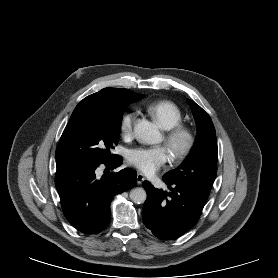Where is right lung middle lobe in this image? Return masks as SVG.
<instances>
[{"label":"right lung middle lobe","instance_id":"dd1d6c3e","mask_svg":"<svg viewBox=\"0 0 278 278\" xmlns=\"http://www.w3.org/2000/svg\"><path fill=\"white\" fill-rule=\"evenodd\" d=\"M143 97L120 100L114 105L80 102L57 146V169L115 158L117 155H111L110 151L118 143L124 109Z\"/></svg>","mask_w":278,"mask_h":278}]
</instances>
